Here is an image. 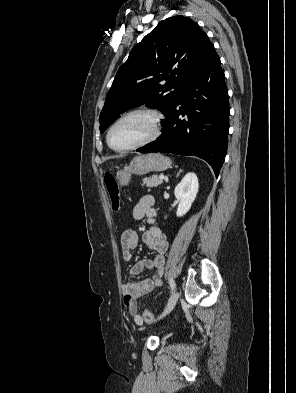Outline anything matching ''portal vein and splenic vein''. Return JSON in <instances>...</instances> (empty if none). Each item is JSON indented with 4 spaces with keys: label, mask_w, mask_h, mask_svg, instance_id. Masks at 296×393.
<instances>
[{
    "label": "portal vein and splenic vein",
    "mask_w": 296,
    "mask_h": 393,
    "mask_svg": "<svg viewBox=\"0 0 296 393\" xmlns=\"http://www.w3.org/2000/svg\"><path fill=\"white\" fill-rule=\"evenodd\" d=\"M164 178H165L164 175L159 176V179H161V180H163Z\"/></svg>",
    "instance_id": "portal-vein-and-splenic-vein-1"
}]
</instances>
